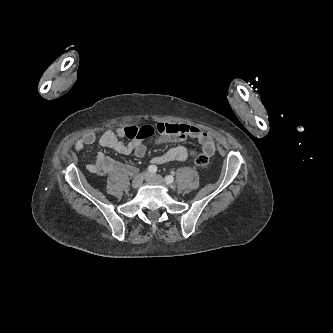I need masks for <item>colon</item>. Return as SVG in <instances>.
<instances>
[{
  "label": "colon",
  "instance_id": "5ec220e1",
  "mask_svg": "<svg viewBox=\"0 0 333 333\" xmlns=\"http://www.w3.org/2000/svg\"><path fill=\"white\" fill-rule=\"evenodd\" d=\"M195 164L199 167H205L209 163V157L203 153L196 154L194 158Z\"/></svg>",
  "mask_w": 333,
  "mask_h": 333
}]
</instances>
